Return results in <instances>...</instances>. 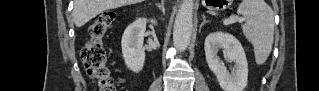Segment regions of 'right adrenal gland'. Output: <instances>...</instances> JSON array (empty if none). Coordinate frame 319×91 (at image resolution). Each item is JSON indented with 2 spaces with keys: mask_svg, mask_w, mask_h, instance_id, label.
Wrapping results in <instances>:
<instances>
[{
  "mask_svg": "<svg viewBox=\"0 0 319 91\" xmlns=\"http://www.w3.org/2000/svg\"><path fill=\"white\" fill-rule=\"evenodd\" d=\"M155 5L163 14H165V0H161V3H155Z\"/></svg>",
  "mask_w": 319,
  "mask_h": 91,
  "instance_id": "right-adrenal-gland-1",
  "label": "right adrenal gland"
}]
</instances>
